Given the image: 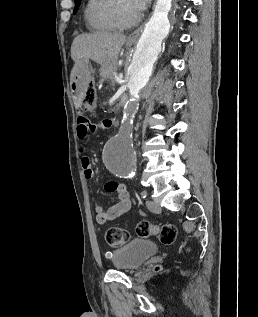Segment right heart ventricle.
<instances>
[{
	"mask_svg": "<svg viewBox=\"0 0 258 317\" xmlns=\"http://www.w3.org/2000/svg\"><path fill=\"white\" fill-rule=\"evenodd\" d=\"M115 0H88L84 7V18L88 28L97 33L115 30L108 17L110 6Z\"/></svg>",
	"mask_w": 258,
	"mask_h": 317,
	"instance_id": "right-heart-ventricle-1",
	"label": "right heart ventricle"
}]
</instances>
